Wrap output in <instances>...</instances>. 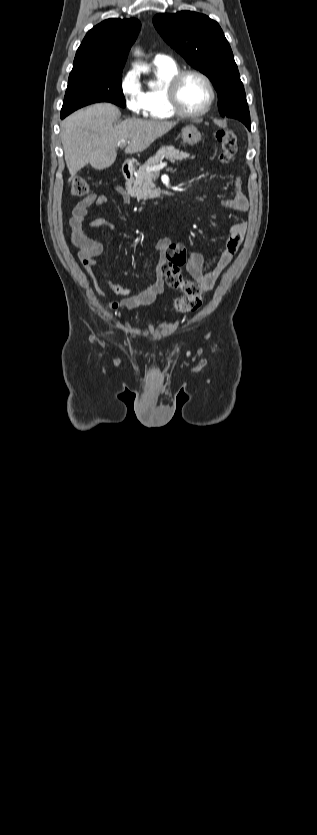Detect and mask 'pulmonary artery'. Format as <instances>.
I'll return each mask as SVG.
<instances>
[{
  "mask_svg": "<svg viewBox=\"0 0 317 835\" xmlns=\"http://www.w3.org/2000/svg\"><path fill=\"white\" fill-rule=\"evenodd\" d=\"M169 60H171V58L169 56L164 55V54H157V55H155V57L153 59V62L154 63H159V62H164V61H169Z\"/></svg>",
  "mask_w": 317,
  "mask_h": 835,
  "instance_id": "obj_1",
  "label": "pulmonary artery"
}]
</instances>
